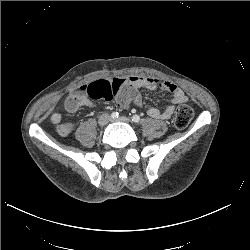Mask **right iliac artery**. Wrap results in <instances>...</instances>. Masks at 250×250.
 <instances>
[{
	"label": "right iliac artery",
	"mask_w": 250,
	"mask_h": 250,
	"mask_svg": "<svg viewBox=\"0 0 250 250\" xmlns=\"http://www.w3.org/2000/svg\"><path fill=\"white\" fill-rule=\"evenodd\" d=\"M118 112H113L112 114H111V117L114 119V118H117L118 117Z\"/></svg>",
	"instance_id": "right-iliac-artery-1"
}]
</instances>
